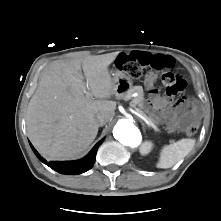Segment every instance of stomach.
I'll list each match as a JSON object with an SVG mask.
<instances>
[{"label": "stomach", "instance_id": "stomach-1", "mask_svg": "<svg viewBox=\"0 0 221 221\" xmlns=\"http://www.w3.org/2000/svg\"><path fill=\"white\" fill-rule=\"evenodd\" d=\"M112 79L116 88L115 94L118 96H124L132 88L131 79L122 71L116 70Z\"/></svg>", "mask_w": 221, "mask_h": 221}]
</instances>
